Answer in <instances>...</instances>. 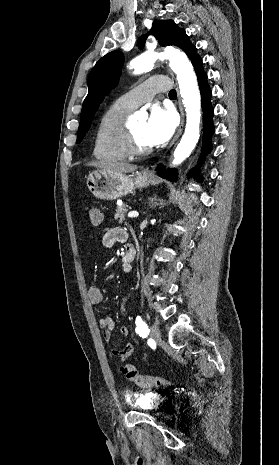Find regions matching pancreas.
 <instances>
[{
	"label": "pancreas",
	"instance_id": "cf45deb5",
	"mask_svg": "<svg viewBox=\"0 0 279 465\" xmlns=\"http://www.w3.org/2000/svg\"><path fill=\"white\" fill-rule=\"evenodd\" d=\"M128 211L127 205L118 206L116 209V214L114 215L115 220L119 219V223H124L125 215Z\"/></svg>",
	"mask_w": 279,
	"mask_h": 465
}]
</instances>
